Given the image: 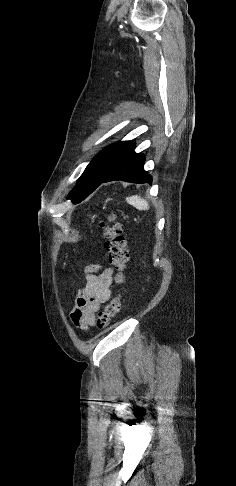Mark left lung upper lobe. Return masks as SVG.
Listing matches in <instances>:
<instances>
[{"label": "left lung upper lobe", "mask_w": 236, "mask_h": 486, "mask_svg": "<svg viewBox=\"0 0 236 486\" xmlns=\"http://www.w3.org/2000/svg\"><path fill=\"white\" fill-rule=\"evenodd\" d=\"M134 143V140L117 142L100 152L86 167L68 198L77 204L89 196Z\"/></svg>", "instance_id": "1"}]
</instances>
